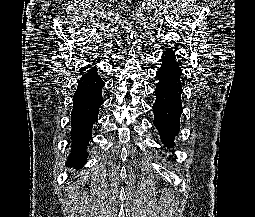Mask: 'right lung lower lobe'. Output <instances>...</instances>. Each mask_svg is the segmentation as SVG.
Here are the masks:
<instances>
[{
  "instance_id": "98d812e1",
  "label": "right lung lower lobe",
  "mask_w": 255,
  "mask_h": 217,
  "mask_svg": "<svg viewBox=\"0 0 255 217\" xmlns=\"http://www.w3.org/2000/svg\"><path fill=\"white\" fill-rule=\"evenodd\" d=\"M103 86L104 82L96 67L88 70L78 81L71 112V165L77 164L81 167L86 162V147L91 139V129L97 121L98 109L103 104Z\"/></svg>"
}]
</instances>
